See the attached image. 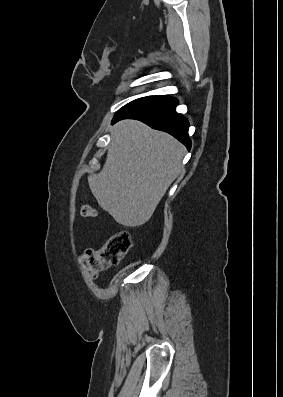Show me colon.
<instances>
[{"label":"colon","mask_w":283,"mask_h":397,"mask_svg":"<svg viewBox=\"0 0 283 397\" xmlns=\"http://www.w3.org/2000/svg\"><path fill=\"white\" fill-rule=\"evenodd\" d=\"M84 217H96L97 211L90 205L81 207ZM132 247V239L128 232L120 231L113 234L100 248L87 249L82 255L83 265L87 273L96 278L98 274L118 264Z\"/></svg>","instance_id":"obj_1"}]
</instances>
